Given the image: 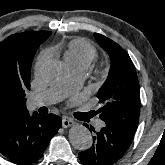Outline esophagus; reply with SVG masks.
<instances>
[{"mask_svg": "<svg viewBox=\"0 0 165 165\" xmlns=\"http://www.w3.org/2000/svg\"><path fill=\"white\" fill-rule=\"evenodd\" d=\"M74 124V121L70 118L63 117L62 118V126L63 128H68Z\"/></svg>", "mask_w": 165, "mask_h": 165, "instance_id": "obj_1", "label": "esophagus"}]
</instances>
